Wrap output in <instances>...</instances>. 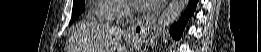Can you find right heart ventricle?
I'll use <instances>...</instances> for the list:
<instances>
[{"label": "right heart ventricle", "instance_id": "obj_1", "mask_svg": "<svg viewBox=\"0 0 261 52\" xmlns=\"http://www.w3.org/2000/svg\"><path fill=\"white\" fill-rule=\"evenodd\" d=\"M91 10V19L93 21L107 24H119L116 20L115 13L121 10V6L115 1L99 0Z\"/></svg>", "mask_w": 261, "mask_h": 52}]
</instances>
